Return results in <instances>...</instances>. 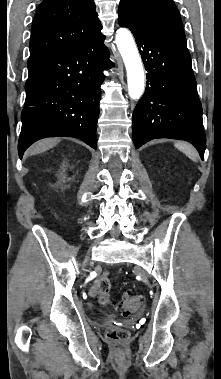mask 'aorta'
<instances>
[{
  "instance_id": "1",
  "label": "aorta",
  "mask_w": 221,
  "mask_h": 379,
  "mask_svg": "<svg viewBox=\"0 0 221 379\" xmlns=\"http://www.w3.org/2000/svg\"><path fill=\"white\" fill-rule=\"evenodd\" d=\"M116 45L126 67L129 96L132 99H139L144 93L145 76L137 46L128 29L117 30Z\"/></svg>"
}]
</instances>
